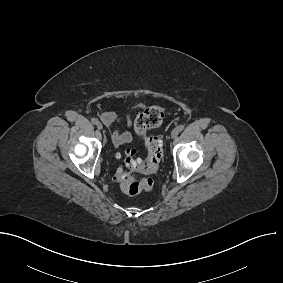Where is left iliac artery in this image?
<instances>
[{
  "instance_id": "44dca946",
  "label": "left iliac artery",
  "mask_w": 283,
  "mask_h": 283,
  "mask_svg": "<svg viewBox=\"0 0 283 283\" xmlns=\"http://www.w3.org/2000/svg\"><path fill=\"white\" fill-rule=\"evenodd\" d=\"M177 129H178L179 132H181V131L184 129V125H182V124L179 125V126L177 127Z\"/></svg>"
}]
</instances>
